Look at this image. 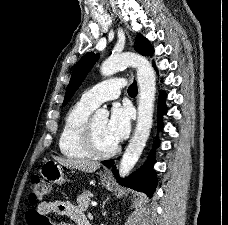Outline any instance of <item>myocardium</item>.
I'll return each mask as SVG.
<instances>
[{"label": "myocardium", "instance_id": "f54148a6", "mask_svg": "<svg viewBox=\"0 0 228 225\" xmlns=\"http://www.w3.org/2000/svg\"><path fill=\"white\" fill-rule=\"evenodd\" d=\"M83 144L85 148L94 156L105 157L115 154L119 150V145L115 143L110 148H102L97 142L92 119H88L83 131Z\"/></svg>", "mask_w": 228, "mask_h": 225}]
</instances>
